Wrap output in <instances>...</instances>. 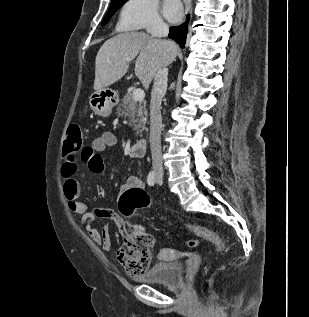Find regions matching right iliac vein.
Here are the masks:
<instances>
[{
    "label": "right iliac vein",
    "mask_w": 309,
    "mask_h": 317,
    "mask_svg": "<svg viewBox=\"0 0 309 317\" xmlns=\"http://www.w3.org/2000/svg\"><path fill=\"white\" fill-rule=\"evenodd\" d=\"M156 176H157L158 178H162L163 174H162L161 172H157V173H156Z\"/></svg>",
    "instance_id": "right-iliac-vein-1"
}]
</instances>
